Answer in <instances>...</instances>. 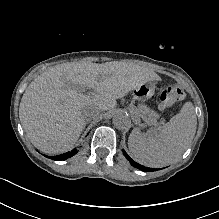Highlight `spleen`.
Masks as SVG:
<instances>
[{
    "mask_svg": "<svg viewBox=\"0 0 219 219\" xmlns=\"http://www.w3.org/2000/svg\"><path fill=\"white\" fill-rule=\"evenodd\" d=\"M197 117L192 103H186L179 114L164 125L157 136L144 137L132 130L128 146L132 158L146 167L161 168L175 161L194 138Z\"/></svg>",
    "mask_w": 219,
    "mask_h": 219,
    "instance_id": "1",
    "label": "spleen"
}]
</instances>
